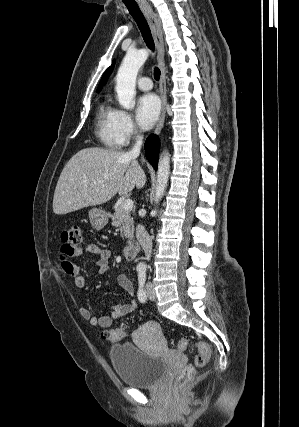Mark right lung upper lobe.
I'll return each mask as SVG.
<instances>
[{
	"instance_id": "right-lung-upper-lobe-1",
	"label": "right lung upper lobe",
	"mask_w": 299,
	"mask_h": 427,
	"mask_svg": "<svg viewBox=\"0 0 299 427\" xmlns=\"http://www.w3.org/2000/svg\"><path fill=\"white\" fill-rule=\"evenodd\" d=\"M114 64H115V61H113L112 65L104 72V74L102 76V79H101V81L99 83V87L97 89V92H99L101 90V87L106 83L109 75L111 74V72H112V70L114 68Z\"/></svg>"
}]
</instances>
